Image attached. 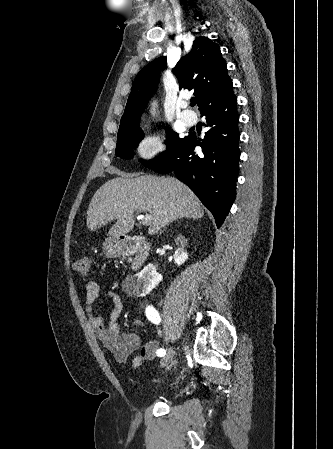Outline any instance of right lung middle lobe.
Segmentation results:
<instances>
[{
	"label": "right lung middle lobe",
	"instance_id": "dd1d6c3e",
	"mask_svg": "<svg viewBox=\"0 0 333 449\" xmlns=\"http://www.w3.org/2000/svg\"><path fill=\"white\" fill-rule=\"evenodd\" d=\"M118 134L121 135V137L117 139L116 156L129 159L133 156L132 149H135L138 146V143L143 139V132L136 125L121 124ZM183 139L184 138H179L177 133L170 131L168 141L166 143L167 150L156 159L142 161V164L148 168L157 167L172 155Z\"/></svg>",
	"mask_w": 333,
	"mask_h": 449
}]
</instances>
